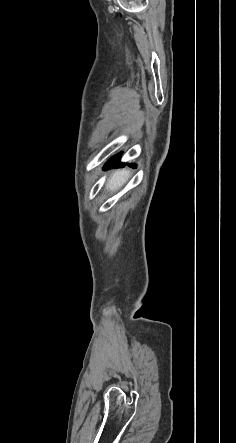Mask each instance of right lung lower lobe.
Instances as JSON below:
<instances>
[{"label": "right lung lower lobe", "instance_id": "obj_1", "mask_svg": "<svg viewBox=\"0 0 236 443\" xmlns=\"http://www.w3.org/2000/svg\"><path fill=\"white\" fill-rule=\"evenodd\" d=\"M121 154H118L116 156H114L113 158H111L107 163L105 168H108L112 165H115L116 163H118L119 159H120Z\"/></svg>", "mask_w": 236, "mask_h": 443}]
</instances>
